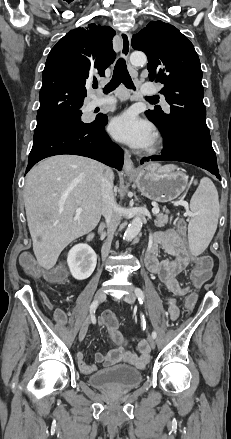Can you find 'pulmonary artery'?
I'll list each match as a JSON object with an SVG mask.
<instances>
[{"label":"pulmonary artery","mask_w":231,"mask_h":439,"mask_svg":"<svg viewBox=\"0 0 231 439\" xmlns=\"http://www.w3.org/2000/svg\"><path fill=\"white\" fill-rule=\"evenodd\" d=\"M142 90L145 94H156L157 89L156 87L151 83H145L142 86ZM115 103V99L113 98H105V99H95L90 103V108H96V107H104L109 106ZM163 106L167 112L170 111V107L168 103L163 100Z\"/></svg>","instance_id":"obj_1"}]
</instances>
